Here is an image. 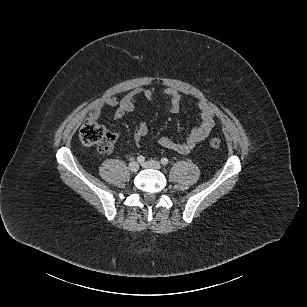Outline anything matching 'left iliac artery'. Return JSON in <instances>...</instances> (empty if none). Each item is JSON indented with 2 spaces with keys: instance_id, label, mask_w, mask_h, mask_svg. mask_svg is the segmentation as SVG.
<instances>
[{
  "instance_id": "obj_1",
  "label": "left iliac artery",
  "mask_w": 307,
  "mask_h": 307,
  "mask_svg": "<svg viewBox=\"0 0 307 307\" xmlns=\"http://www.w3.org/2000/svg\"><path fill=\"white\" fill-rule=\"evenodd\" d=\"M168 162H169V160L165 157L161 159V164L164 165V166H166L168 164Z\"/></svg>"
}]
</instances>
